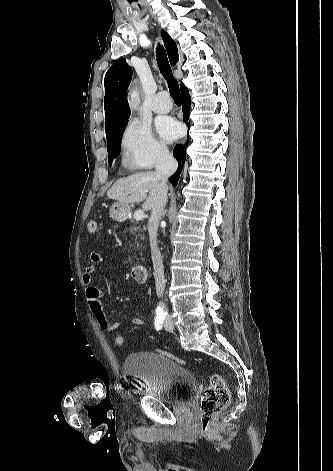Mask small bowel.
I'll return each mask as SVG.
<instances>
[{
  "mask_svg": "<svg viewBox=\"0 0 333 471\" xmlns=\"http://www.w3.org/2000/svg\"><path fill=\"white\" fill-rule=\"evenodd\" d=\"M102 257L96 252H91L89 256V262L85 266L82 280L86 289V299L89 306V310L93 315L98 327L103 332H113L119 326V322H110L104 312L103 308V293L102 291L93 284V277L96 270V265L102 262ZM131 323L135 326L143 325L144 322L140 317H133Z\"/></svg>",
  "mask_w": 333,
  "mask_h": 471,
  "instance_id": "c3829d8e",
  "label": "small bowel"
}]
</instances>
